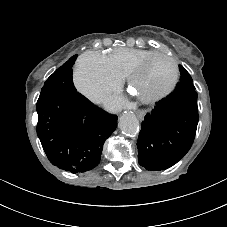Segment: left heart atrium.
<instances>
[{
	"label": "left heart atrium",
	"instance_id": "left-heart-atrium-1",
	"mask_svg": "<svg viewBox=\"0 0 227 227\" xmlns=\"http://www.w3.org/2000/svg\"><path fill=\"white\" fill-rule=\"evenodd\" d=\"M121 104V100L120 99H118V98H111L109 101H108V105L110 106V107H113V108H115V107H118L119 105Z\"/></svg>",
	"mask_w": 227,
	"mask_h": 227
}]
</instances>
